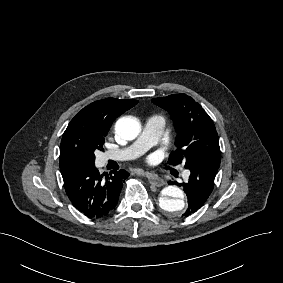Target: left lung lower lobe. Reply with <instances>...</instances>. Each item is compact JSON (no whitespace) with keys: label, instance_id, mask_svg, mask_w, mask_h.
Listing matches in <instances>:
<instances>
[{"label":"left lung lower lobe","instance_id":"1","mask_svg":"<svg viewBox=\"0 0 283 283\" xmlns=\"http://www.w3.org/2000/svg\"><path fill=\"white\" fill-rule=\"evenodd\" d=\"M218 162H201L189 168L191 174L188 183H183L188 197V208L182 215L188 217L204 205L214 188V179L219 169Z\"/></svg>","mask_w":283,"mask_h":283}]
</instances>
